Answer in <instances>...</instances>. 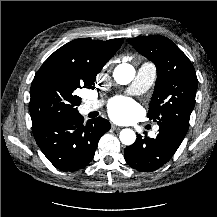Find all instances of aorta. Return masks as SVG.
<instances>
[{"label": "aorta", "mask_w": 217, "mask_h": 217, "mask_svg": "<svg viewBox=\"0 0 217 217\" xmlns=\"http://www.w3.org/2000/svg\"><path fill=\"white\" fill-rule=\"evenodd\" d=\"M135 76V69L128 63L119 64L113 72L114 80L121 85L129 84ZM120 141L125 145H132L136 140V134L132 129L125 128L119 135Z\"/></svg>", "instance_id": "762f6f07"}]
</instances>
